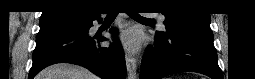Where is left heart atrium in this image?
Returning a JSON list of instances; mask_svg holds the SVG:
<instances>
[{"instance_id":"left-heart-atrium-1","label":"left heart atrium","mask_w":255,"mask_h":79,"mask_svg":"<svg viewBox=\"0 0 255 79\" xmlns=\"http://www.w3.org/2000/svg\"><path fill=\"white\" fill-rule=\"evenodd\" d=\"M117 41L129 52H136L141 45V37L138 31L129 29L117 36Z\"/></svg>"}]
</instances>
